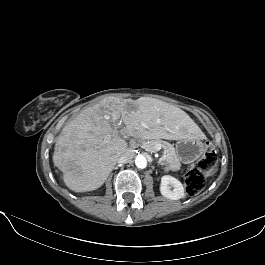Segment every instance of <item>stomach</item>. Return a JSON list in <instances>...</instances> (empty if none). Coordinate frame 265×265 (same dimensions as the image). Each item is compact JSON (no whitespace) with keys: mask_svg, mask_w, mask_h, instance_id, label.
Returning a JSON list of instances; mask_svg holds the SVG:
<instances>
[{"mask_svg":"<svg viewBox=\"0 0 265 265\" xmlns=\"http://www.w3.org/2000/svg\"><path fill=\"white\" fill-rule=\"evenodd\" d=\"M175 151L182 163L189 164L203 154V144L199 139L181 138L177 140Z\"/></svg>","mask_w":265,"mask_h":265,"instance_id":"stomach-1","label":"stomach"}]
</instances>
